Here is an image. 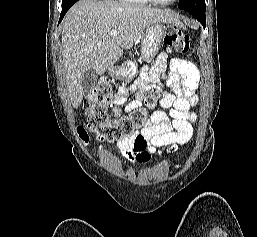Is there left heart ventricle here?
Listing matches in <instances>:
<instances>
[{"label": "left heart ventricle", "instance_id": "left-heart-ventricle-1", "mask_svg": "<svg viewBox=\"0 0 257 237\" xmlns=\"http://www.w3.org/2000/svg\"><path fill=\"white\" fill-rule=\"evenodd\" d=\"M161 1H169V0H161Z\"/></svg>", "mask_w": 257, "mask_h": 237}]
</instances>
